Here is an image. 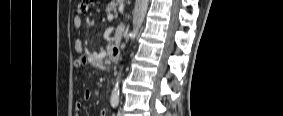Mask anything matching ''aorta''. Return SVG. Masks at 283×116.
Instances as JSON below:
<instances>
[{
    "label": "aorta",
    "mask_w": 283,
    "mask_h": 116,
    "mask_svg": "<svg viewBox=\"0 0 283 116\" xmlns=\"http://www.w3.org/2000/svg\"><path fill=\"white\" fill-rule=\"evenodd\" d=\"M148 4H149V0H141L140 6H139L137 23L133 29V32L131 33L132 40H134L137 37L139 29L144 21V18H145L147 9H148ZM118 101H119V83L117 81L115 88L111 94V102H118Z\"/></svg>",
    "instance_id": "aorta-1"
}]
</instances>
